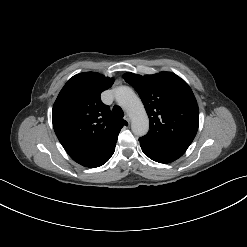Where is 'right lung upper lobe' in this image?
I'll return each instance as SVG.
<instances>
[{
    "mask_svg": "<svg viewBox=\"0 0 247 247\" xmlns=\"http://www.w3.org/2000/svg\"><path fill=\"white\" fill-rule=\"evenodd\" d=\"M113 83V78L99 73L77 74L67 81L54 103L57 138L69 156L85 167L94 163L127 125L100 101V94Z\"/></svg>",
    "mask_w": 247,
    "mask_h": 247,
    "instance_id": "cb5924a9",
    "label": "right lung upper lobe"
}]
</instances>
